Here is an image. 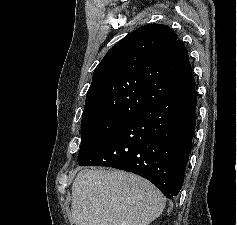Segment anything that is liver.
<instances>
[{"mask_svg": "<svg viewBox=\"0 0 237 225\" xmlns=\"http://www.w3.org/2000/svg\"><path fill=\"white\" fill-rule=\"evenodd\" d=\"M165 205L154 185L125 171L84 169L72 184L75 225H149Z\"/></svg>", "mask_w": 237, "mask_h": 225, "instance_id": "liver-1", "label": "liver"}]
</instances>
